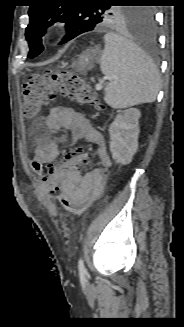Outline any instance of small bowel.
<instances>
[{"instance_id":"1","label":"small bowel","mask_w":184,"mask_h":327,"mask_svg":"<svg viewBox=\"0 0 184 327\" xmlns=\"http://www.w3.org/2000/svg\"><path fill=\"white\" fill-rule=\"evenodd\" d=\"M45 125L49 131L70 130L73 138L95 144L98 164L84 174L82 166H87V160L92 159L91 153H60L55 139L39 137L32 168L33 165H44V171L48 173L40 174L44 183H40L39 188H31L30 194L35 199H49L53 190H59L71 200H89L92 203L103 192L106 173L112 166L101 133L83 114L64 106L52 108ZM58 158L59 163H55ZM36 203L39 205L41 202L38 200Z\"/></svg>"}]
</instances>
